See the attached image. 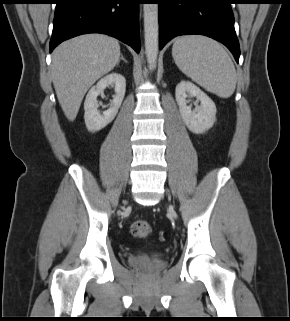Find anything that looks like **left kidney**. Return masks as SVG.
Returning a JSON list of instances; mask_svg holds the SVG:
<instances>
[{
  "label": "left kidney",
  "instance_id": "obj_1",
  "mask_svg": "<svg viewBox=\"0 0 290 321\" xmlns=\"http://www.w3.org/2000/svg\"><path fill=\"white\" fill-rule=\"evenodd\" d=\"M195 97L200 105L195 109L188 105L187 97ZM175 97L183 122L193 133L200 134L210 129L216 120V106L214 102L189 81H181L176 86Z\"/></svg>",
  "mask_w": 290,
  "mask_h": 321
}]
</instances>
